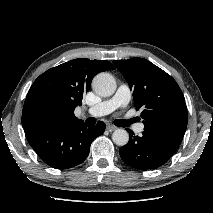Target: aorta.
Segmentation results:
<instances>
[{
    "label": "aorta",
    "instance_id": "762f6f07",
    "mask_svg": "<svg viewBox=\"0 0 213 213\" xmlns=\"http://www.w3.org/2000/svg\"><path fill=\"white\" fill-rule=\"evenodd\" d=\"M93 90L100 96H111L116 90V81L109 73L97 74L92 82ZM113 142L118 146H124L129 141V134L125 129H117L112 134Z\"/></svg>",
    "mask_w": 213,
    "mask_h": 213
}]
</instances>
